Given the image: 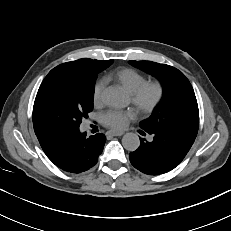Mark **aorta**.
<instances>
[{
	"instance_id": "obj_1",
	"label": "aorta",
	"mask_w": 231,
	"mask_h": 231,
	"mask_svg": "<svg viewBox=\"0 0 231 231\" xmlns=\"http://www.w3.org/2000/svg\"><path fill=\"white\" fill-rule=\"evenodd\" d=\"M103 101L106 105L114 108H123L127 105V99L116 88H108L103 93ZM122 145L126 150L135 151L140 146V139L135 133H126L122 138Z\"/></svg>"
}]
</instances>
